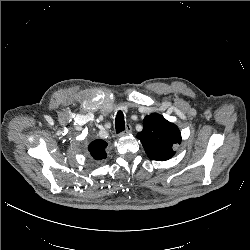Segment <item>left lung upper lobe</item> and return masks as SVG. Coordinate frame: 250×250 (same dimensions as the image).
I'll list each match as a JSON object with an SVG mask.
<instances>
[{
    "label": "left lung upper lobe",
    "instance_id": "obj_1",
    "mask_svg": "<svg viewBox=\"0 0 250 250\" xmlns=\"http://www.w3.org/2000/svg\"><path fill=\"white\" fill-rule=\"evenodd\" d=\"M146 154L152 160L165 161L174 154L176 144L181 143L178 127L163 116L153 113L143 120V130L137 134Z\"/></svg>",
    "mask_w": 250,
    "mask_h": 250
}]
</instances>
